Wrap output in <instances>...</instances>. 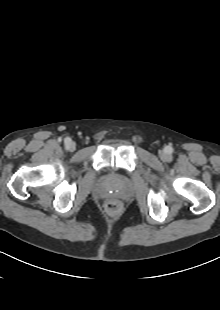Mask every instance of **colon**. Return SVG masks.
<instances>
[{"label":"colon","mask_w":220,"mask_h":310,"mask_svg":"<svg viewBox=\"0 0 220 310\" xmlns=\"http://www.w3.org/2000/svg\"><path fill=\"white\" fill-rule=\"evenodd\" d=\"M106 208L110 213H117L120 210V204L112 201L107 203Z\"/></svg>","instance_id":"5ec220e1"}]
</instances>
